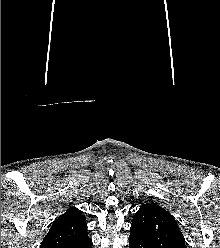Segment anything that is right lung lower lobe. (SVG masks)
Segmentation results:
<instances>
[{"instance_id": "98d812e1", "label": "right lung lower lobe", "mask_w": 220, "mask_h": 248, "mask_svg": "<svg viewBox=\"0 0 220 248\" xmlns=\"http://www.w3.org/2000/svg\"><path fill=\"white\" fill-rule=\"evenodd\" d=\"M74 248H92V241L89 240L83 244H80L78 246H75Z\"/></svg>"}]
</instances>
